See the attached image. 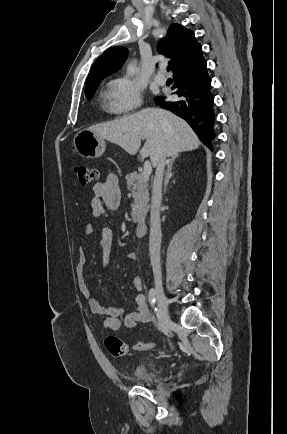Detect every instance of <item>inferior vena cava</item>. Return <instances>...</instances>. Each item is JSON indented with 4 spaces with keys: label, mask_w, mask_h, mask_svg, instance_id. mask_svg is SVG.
Wrapping results in <instances>:
<instances>
[{
    "label": "inferior vena cava",
    "mask_w": 287,
    "mask_h": 434,
    "mask_svg": "<svg viewBox=\"0 0 287 434\" xmlns=\"http://www.w3.org/2000/svg\"><path fill=\"white\" fill-rule=\"evenodd\" d=\"M166 156L161 155L156 167L153 181L151 212H150V234H149V252L151 266L153 269L155 282H162L160 267V248H161V223H160V205L162 200V182L164 168L167 164Z\"/></svg>",
    "instance_id": "inferior-vena-cava-1"
}]
</instances>
